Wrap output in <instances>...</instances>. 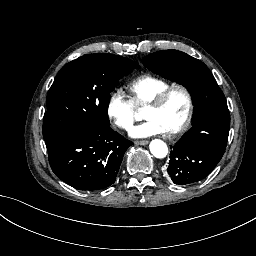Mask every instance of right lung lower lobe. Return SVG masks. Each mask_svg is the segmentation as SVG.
I'll list each match as a JSON object with an SVG mask.
<instances>
[{"mask_svg": "<svg viewBox=\"0 0 256 256\" xmlns=\"http://www.w3.org/2000/svg\"><path fill=\"white\" fill-rule=\"evenodd\" d=\"M49 163L61 180L81 190H99L115 182L123 155L133 143L110 127L45 140Z\"/></svg>", "mask_w": 256, "mask_h": 256, "instance_id": "right-lung-lower-lobe-1", "label": "right lung lower lobe"}]
</instances>
